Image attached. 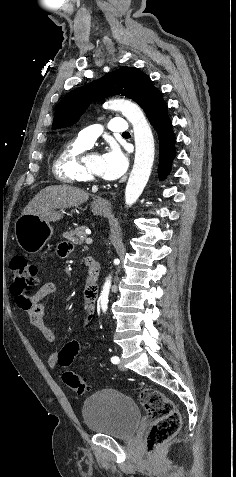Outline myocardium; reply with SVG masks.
<instances>
[{
	"label": "myocardium",
	"mask_w": 236,
	"mask_h": 477,
	"mask_svg": "<svg viewBox=\"0 0 236 477\" xmlns=\"http://www.w3.org/2000/svg\"><path fill=\"white\" fill-rule=\"evenodd\" d=\"M85 174L89 181L91 182H101L103 181L102 177L94 173L88 166V164H83Z\"/></svg>",
	"instance_id": "f54148a6"
}]
</instances>
